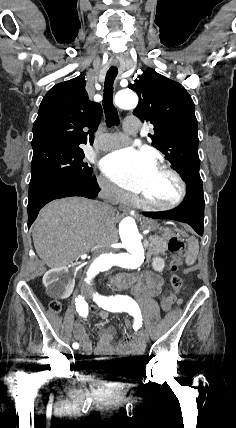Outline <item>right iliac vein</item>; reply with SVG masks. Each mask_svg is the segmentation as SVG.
<instances>
[{"instance_id":"63e3f726","label":"right iliac vein","mask_w":236,"mask_h":428,"mask_svg":"<svg viewBox=\"0 0 236 428\" xmlns=\"http://www.w3.org/2000/svg\"><path fill=\"white\" fill-rule=\"evenodd\" d=\"M82 343H83V340L81 339V340L79 341V345H80V346H82V345H83Z\"/></svg>"}]
</instances>
